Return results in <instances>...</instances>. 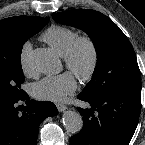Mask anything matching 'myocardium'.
I'll list each match as a JSON object with an SVG mask.
<instances>
[{"label": "myocardium", "instance_id": "obj_1", "mask_svg": "<svg viewBox=\"0 0 145 145\" xmlns=\"http://www.w3.org/2000/svg\"><path fill=\"white\" fill-rule=\"evenodd\" d=\"M83 51L88 54V64L84 70H80L79 60ZM64 62L66 67L81 81L90 80L94 76L99 63V51L95 41L88 35L78 36L68 54L64 57Z\"/></svg>", "mask_w": 145, "mask_h": 145}]
</instances>
